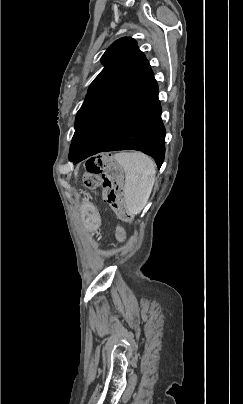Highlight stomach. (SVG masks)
<instances>
[{"instance_id":"1","label":"stomach","mask_w":243,"mask_h":404,"mask_svg":"<svg viewBox=\"0 0 243 404\" xmlns=\"http://www.w3.org/2000/svg\"><path fill=\"white\" fill-rule=\"evenodd\" d=\"M82 217L84 220V225L91 230H96L100 225V216L96 208L88 203L84 202L82 205Z\"/></svg>"}]
</instances>
